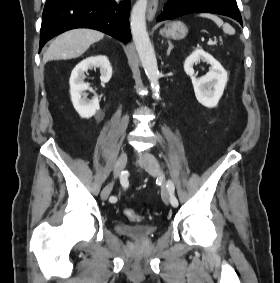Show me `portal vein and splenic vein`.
<instances>
[{
    "instance_id": "portal-vein-and-splenic-vein-1",
    "label": "portal vein and splenic vein",
    "mask_w": 280,
    "mask_h": 283,
    "mask_svg": "<svg viewBox=\"0 0 280 283\" xmlns=\"http://www.w3.org/2000/svg\"><path fill=\"white\" fill-rule=\"evenodd\" d=\"M212 44H213L212 39H209V41H208V45H212Z\"/></svg>"
}]
</instances>
